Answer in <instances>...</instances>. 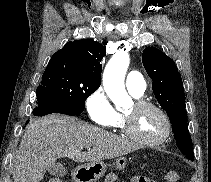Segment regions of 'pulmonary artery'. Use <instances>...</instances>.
<instances>
[{
  "label": "pulmonary artery",
  "instance_id": "obj_1",
  "mask_svg": "<svg viewBox=\"0 0 211 182\" xmlns=\"http://www.w3.org/2000/svg\"><path fill=\"white\" fill-rule=\"evenodd\" d=\"M126 87L132 95L140 97L146 89V82L141 73L131 71L126 77Z\"/></svg>",
  "mask_w": 211,
  "mask_h": 182
}]
</instances>
